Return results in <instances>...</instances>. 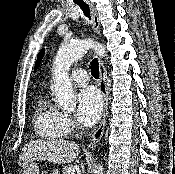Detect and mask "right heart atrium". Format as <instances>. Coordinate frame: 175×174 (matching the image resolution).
<instances>
[{"label": "right heart atrium", "mask_w": 175, "mask_h": 174, "mask_svg": "<svg viewBox=\"0 0 175 174\" xmlns=\"http://www.w3.org/2000/svg\"><path fill=\"white\" fill-rule=\"evenodd\" d=\"M64 125H65L67 132H70L75 128V124L73 120L68 115H64Z\"/></svg>", "instance_id": "d8ad5b80"}]
</instances>
